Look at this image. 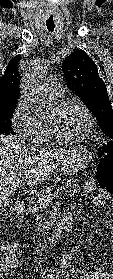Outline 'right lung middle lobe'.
Instances as JSON below:
<instances>
[{
	"label": "right lung middle lobe",
	"instance_id": "1",
	"mask_svg": "<svg viewBox=\"0 0 113 279\" xmlns=\"http://www.w3.org/2000/svg\"><path fill=\"white\" fill-rule=\"evenodd\" d=\"M14 108L15 107H10L0 110V134H15L11 126Z\"/></svg>",
	"mask_w": 113,
	"mask_h": 279
}]
</instances>
